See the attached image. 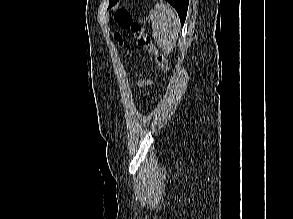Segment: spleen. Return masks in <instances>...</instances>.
<instances>
[{
	"instance_id": "1",
	"label": "spleen",
	"mask_w": 293,
	"mask_h": 219,
	"mask_svg": "<svg viewBox=\"0 0 293 219\" xmlns=\"http://www.w3.org/2000/svg\"><path fill=\"white\" fill-rule=\"evenodd\" d=\"M152 34L158 47L169 54L176 45L180 32V21L172 8L163 2L157 3L149 12Z\"/></svg>"
}]
</instances>
